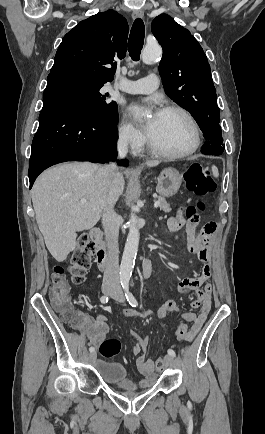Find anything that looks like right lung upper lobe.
Returning a JSON list of instances; mask_svg holds the SVG:
<instances>
[{"mask_svg":"<svg viewBox=\"0 0 265 434\" xmlns=\"http://www.w3.org/2000/svg\"><path fill=\"white\" fill-rule=\"evenodd\" d=\"M126 19L110 9L81 21L63 38L48 76L85 75L112 81L116 61L126 55Z\"/></svg>","mask_w":265,"mask_h":434,"instance_id":"obj_1","label":"right lung upper lobe"}]
</instances>
